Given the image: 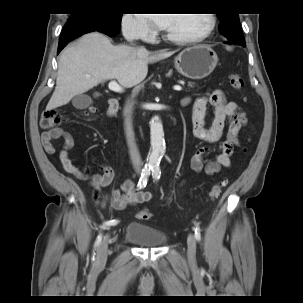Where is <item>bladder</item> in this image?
<instances>
[{
  "instance_id": "31cf9c89",
  "label": "bladder",
  "mask_w": 303,
  "mask_h": 303,
  "mask_svg": "<svg viewBox=\"0 0 303 303\" xmlns=\"http://www.w3.org/2000/svg\"><path fill=\"white\" fill-rule=\"evenodd\" d=\"M125 238L141 247L148 248L162 246L168 240L165 233L153 229L148 225L137 222L128 224L125 232Z\"/></svg>"
}]
</instances>
